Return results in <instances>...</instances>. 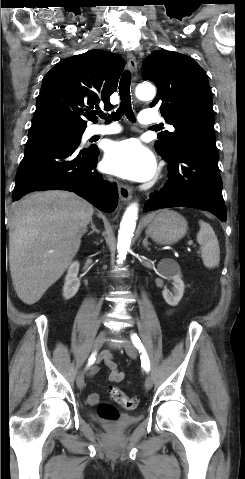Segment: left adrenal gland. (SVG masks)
<instances>
[{
    "label": "left adrenal gland",
    "instance_id": "1",
    "mask_svg": "<svg viewBox=\"0 0 245 479\" xmlns=\"http://www.w3.org/2000/svg\"><path fill=\"white\" fill-rule=\"evenodd\" d=\"M142 244L148 251H150V248L148 246L149 243H148V237L147 236L144 238Z\"/></svg>",
    "mask_w": 245,
    "mask_h": 479
}]
</instances>
